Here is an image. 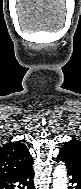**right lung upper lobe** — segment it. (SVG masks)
Segmentation results:
<instances>
[{
	"label": "right lung upper lobe",
	"mask_w": 81,
	"mask_h": 189,
	"mask_svg": "<svg viewBox=\"0 0 81 189\" xmlns=\"http://www.w3.org/2000/svg\"><path fill=\"white\" fill-rule=\"evenodd\" d=\"M32 157L25 144L20 141L9 142L0 148V179L23 169Z\"/></svg>",
	"instance_id": "1"
}]
</instances>
